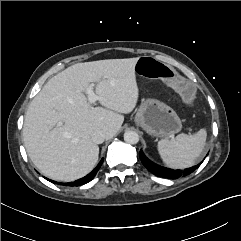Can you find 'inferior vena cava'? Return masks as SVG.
<instances>
[{"label":"inferior vena cava","instance_id":"602c4592","mask_svg":"<svg viewBox=\"0 0 241 241\" xmlns=\"http://www.w3.org/2000/svg\"><path fill=\"white\" fill-rule=\"evenodd\" d=\"M105 138H106V135L102 130H97V131L93 132L91 135L92 141L96 144L103 143Z\"/></svg>","mask_w":241,"mask_h":241}]
</instances>
